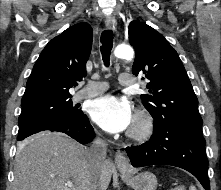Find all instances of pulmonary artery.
<instances>
[{"label":"pulmonary artery","instance_id":"1","mask_svg":"<svg viewBox=\"0 0 221 190\" xmlns=\"http://www.w3.org/2000/svg\"><path fill=\"white\" fill-rule=\"evenodd\" d=\"M119 83L122 86H134L136 81L134 77L129 73H121L119 75ZM108 85L106 82H89L81 90H79L73 97L75 101L97 96L106 91Z\"/></svg>","mask_w":221,"mask_h":190}]
</instances>
